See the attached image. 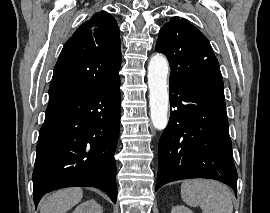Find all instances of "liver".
<instances>
[{
  "label": "liver",
  "mask_w": 270,
  "mask_h": 213,
  "mask_svg": "<svg viewBox=\"0 0 270 213\" xmlns=\"http://www.w3.org/2000/svg\"><path fill=\"white\" fill-rule=\"evenodd\" d=\"M82 196L81 188L58 190L41 200L40 213H66L81 201Z\"/></svg>",
  "instance_id": "6515ba94"
}]
</instances>
